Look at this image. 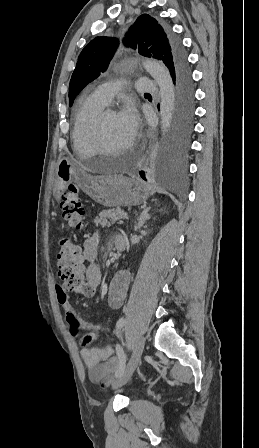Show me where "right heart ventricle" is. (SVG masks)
I'll return each mask as SVG.
<instances>
[{
	"label": "right heart ventricle",
	"mask_w": 259,
	"mask_h": 448,
	"mask_svg": "<svg viewBox=\"0 0 259 448\" xmlns=\"http://www.w3.org/2000/svg\"><path fill=\"white\" fill-rule=\"evenodd\" d=\"M91 89L81 99V106L77 110L72 129L73 148L80 150L96 149L93 142L94 123L97 114L106 106Z\"/></svg>",
	"instance_id": "right-heart-ventricle-1"
}]
</instances>
